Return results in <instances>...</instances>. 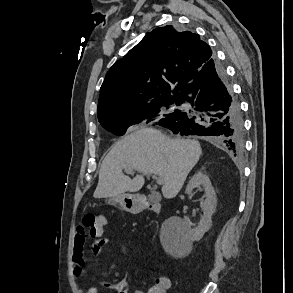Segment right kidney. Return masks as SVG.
Returning a JSON list of instances; mask_svg holds the SVG:
<instances>
[{"instance_id": "1", "label": "right kidney", "mask_w": 293, "mask_h": 293, "mask_svg": "<svg viewBox=\"0 0 293 293\" xmlns=\"http://www.w3.org/2000/svg\"><path fill=\"white\" fill-rule=\"evenodd\" d=\"M200 186L203 187L205 199L200 201L203 217L198 223L197 228L191 229L187 222L181 221L178 217H171L162 226L160 241L164 250L171 255H175L178 250L184 247H190L193 241L202 239L203 235L212 226V215L215 212L217 200L209 177L202 171H199L191 178L185 192L191 195L193 189ZM171 221L180 222V226H170Z\"/></svg>"}]
</instances>
